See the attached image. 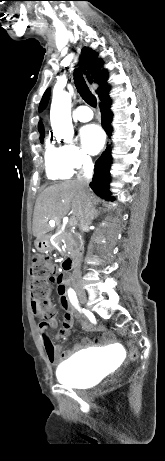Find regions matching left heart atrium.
<instances>
[{
    "label": "left heart atrium",
    "mask_w": 165,
    "mask_h": 461,
    "mask_svg": "<svg viewBox=\"0 0 165 461\" xmlns=\"http://www.w3.org/2000/svg\"><path fill=\"white\" fill-rule=\"evenodd\" d=\"M80 137L83 147L90 154H97L105 142L104 133L94 124L83 127L80 132Z\"/></svg>",
    "instance_id": "39dd6f15"
}]
</instances>
